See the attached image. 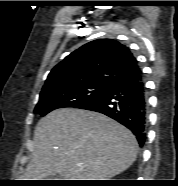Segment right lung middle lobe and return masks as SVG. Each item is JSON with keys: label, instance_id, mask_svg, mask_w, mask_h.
<instances>
[{"label": "right lung middle lobe", "instance_id": "obj_1", "mask_svg": "<svg viewBox=\"0 0 178 186\" xmlns=\"http://www.w3.org/2000/svg\"><path fill=\"white\" fill-rule=\"evenodd\" d=\"M109 84L89 83L40 93L34 113L45 116L58 108L79 107L101 94Z\"/></svg>", "mask_w": 178, "mask_h": 186}]
</instances>
